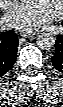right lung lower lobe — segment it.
<instances>
[{
    "instance_id": "right-lung-lower-lobe-1",
    "label": "right lung lower lobe",
    "mask_w": 63,
    "mask_h": 107,
    "mask_svg": "<svg viewBox=\"0 0 63 107\" xmlns=\"http://www.w3.org/2000/svg\"><path fill=\"white\" fill-rule=\"evenodd\" d=\"M0 38V76H2L15 63L18 39L13 31L3 32Z\"/></svg>"
}]
</instances>
